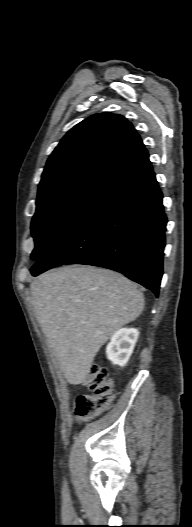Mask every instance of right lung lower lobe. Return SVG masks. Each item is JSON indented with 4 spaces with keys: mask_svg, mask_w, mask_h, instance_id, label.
Wrapping results in <instances>:
<instances>
[{
    "mask_svg": "<svg viewBox=\"0 0 192 527\" xmlns=\"http://www.w3.org/2000/svg\"><path fill=\"white\" fill-rule=\"evenodd\" d=\"M167 218L147 150L107 181L49 252L33 276L64 264L121 272L156 296L163 274Z\"/></svg>",
    "mask_w": 192,
    "mask_h": 527,
    "instance_id": "obj_1",
    "label": "right lung lower lobe"
}]
</instances>
